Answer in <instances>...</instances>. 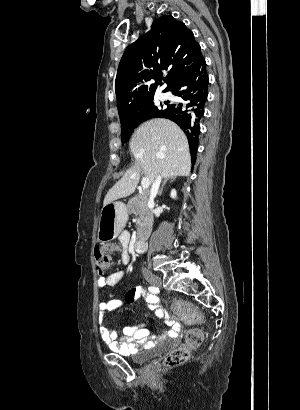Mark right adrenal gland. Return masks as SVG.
I'll use <instances>...</instances> for the list:
<instances>
[{
    "mask_svg": "<svg viewBox=\"0 0 300 410\" xmlns=\"http://www.w3.org/2000/svg\"><path fill=\"white\" fill-rule=\"evenodd\" d=\"M175 179H176V177H168V178L164 179V181H163V183H162V185H161V187H160V190H159V192H158V195L161 196V194H162V192H163V188H164V186H165V184H166V182H167L168 180H170V182H173Z\"/></svg>",
    "mask_w": 300,
    "mask_h": 410,
    "instance_id": "1",
    "label": "right adrenal gland"
}]
</instances>
